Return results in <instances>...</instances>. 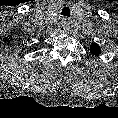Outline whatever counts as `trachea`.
Returning <instances> with one entry per match:
<instances>
[{"label":"trachea","instance_id":"3493384b","mask_svg":"<svg viewBox=\"0 0 118 118\" xmlns=\"http://www.w3.org/2000/svg\"><path fill=\"white\" fill-rule=\"evenodd\" d=\"M63 16H67L69 17L70 16V9L68 7H64L62 9V13H61Z\"/></svg>","mask_w":118,"mask_h":118}]
</instances>
